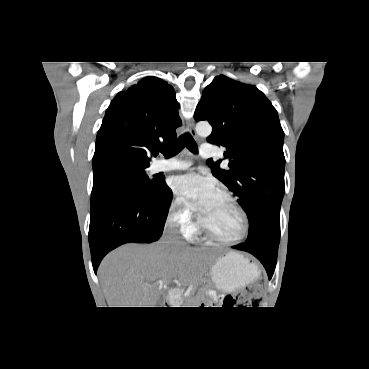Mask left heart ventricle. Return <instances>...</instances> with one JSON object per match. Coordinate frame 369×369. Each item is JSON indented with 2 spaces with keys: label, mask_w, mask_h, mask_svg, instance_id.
<instances>
[{
  "label": "left heart ventricle",
  "mask_w": 369,
  "mask_h": 369,
  "mask_svg": "<svg viewBox=\"0 0 369 369\" xmlns=\"http://www.w3.org/2000/svg\"><path fill=\"white\" fill-rule=\"evenodd\" d=\"M204 225L224 238L237 237L242 230V219L238 210L225 197L216 194L201 213Z\"/></svg>",
  "instance_id": "b2bd125f"
}]
</instances>
